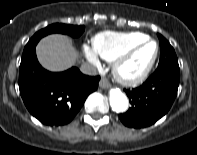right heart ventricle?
Returning a JSON list of instances; mask_svg holds the SVG:
<instances>
[{
    "label": "right heart ventricle",
    "instance_id": "1",
    "mask_svg": "<svg viewBox=\"0 0 197 155\" xmlns=\"http://www.w3.org/2000/svg\"><path fill=\"white\" fill-rule=\"evenodd\" d=\"M147 37L141 32L106 31L93 38V50L104 60L112 62L127 48Z\"/></svg>",
    "mask_w": 197,
    "mask_h": 155
}]
</instances>
